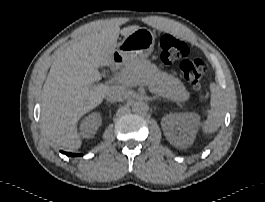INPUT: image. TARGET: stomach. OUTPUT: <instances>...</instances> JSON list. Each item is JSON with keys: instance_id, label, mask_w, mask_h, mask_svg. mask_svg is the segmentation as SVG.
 <instances>
[{"instance_id": "stomach-1", "label": "stomach", "mask_w": 265, "mask_h": 202, "mask_svg": "<svg viewBox=\"0 0 265 202\" xmlns=\"http://www.w3.org/2000/svg\"><path fill=\"white\" fill-rule=\"evenodd\" d=\"M155 34L147 28H139L118 44L116 52L125 60H145L153 51Z\"/></svg>"}]
</instances>
